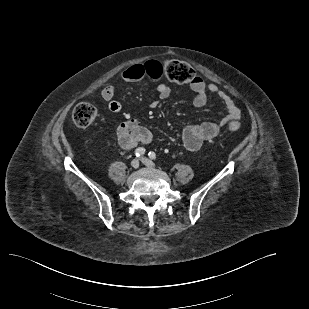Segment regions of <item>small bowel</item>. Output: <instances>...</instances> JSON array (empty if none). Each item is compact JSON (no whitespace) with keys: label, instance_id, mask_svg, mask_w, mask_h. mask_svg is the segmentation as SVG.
<instances>
[{"label":"small bowel","instance_id":"obj_1","mask_svg":"<svg viewBox=\"0 0 309 309\" xmlns=\"http://www.w3.org/2000/svg\"><path fill=\"white\" fill-rule=\"evenodd\" d=\"M146 63L135 64L124 69L121 74V80L125 82H137L148 77L152 80H158L161 77L160 68ZM195 93L193 104L196 107H202L206 104L208 95L215 94L225 105L227 114L217 122H203L196 125L187 126L182 132V139L185 147L190 151H197L204 142L214 139L221 128L231 122H237L241 118V110L234 102L232 97L225 91L219 89L214 83H205L204 80L197 77L196 81L190 84ZM156 92L161 100L167 99L171 94L170 87L165 83H159L156 86ZM116 88L113 85L106 86L102 92V98L108 103V109L111 112H120L122 105L115 100ZM156 103H152L154 107ZM117 138L119 145L125 150H131L139 143L147 144L152 140V133L143 126L137 119L129 118L119 124L117 128Z\"/></svg>","mask_w":309,"mask_h":309}]
</instances>
